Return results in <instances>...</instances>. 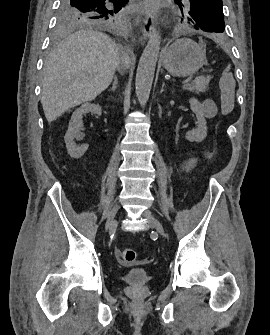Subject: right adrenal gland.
<instances>
[{
    "mask_svg": "<svg viewBox=\"0 0 270 335\" xmlns=\"http://www.w3.org/2000/svg\"><path fill=\"white\" fill-rule=\"evenodd\" d=\"M113 80H114V82L112 84L111 90H112V92H115V90L117 88V84H118L116 76H114Z\"/></svg>",
    "mask_w": 270,
    "mask_h": 335,
    "instance_id": "1",
    "label": "right adrenal gland"
}]
</instances>
